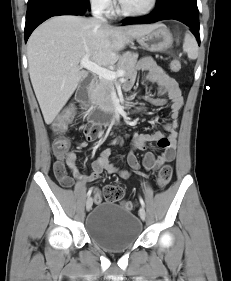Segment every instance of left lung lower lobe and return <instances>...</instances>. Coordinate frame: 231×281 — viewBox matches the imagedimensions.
Segmentation results:
<instances>
[{
  "label": "left lung lower lobe",
  "instance_id": "left-lung-lower-lobe-1",
  "mask_svg": "<svg viewBox=\"0 0 231 281\" xmlns=\"http://www.w3.org/2000/svg\"><path fill=\"white\" fill-rule=\"evenodd\" d=\"M165 19L178 20L189 26L200 44L197 0H159L157 8L150 15L144 18H127L122 23L144 24Z\"/></svg>",
  "mask_w": 231,
  "mask_h": 281
}]
</instances>
